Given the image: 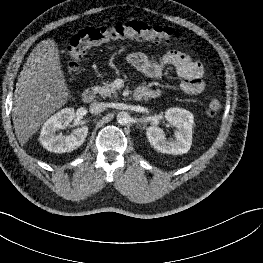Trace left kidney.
Here are the masks:
<instances>
[{"label": "left kidney", "mask_w": 263, "mask_h": 263, "mask_svg": "<svg viewBox=\"0 0 263 263\" xmlns=\"http://www.w3.org/2000/svg\"><path fill=\"white\" fill-rule=\"evenodd\" d=\"M166 120L174 127L175 140H167L164 131L157 126L147 128L146 135L150 144L166 154L181 155L187 153L192 144L193 115L187 110L179 108L168 109Z\"/></svg>", "instance_id": "1"}]
</instances>
